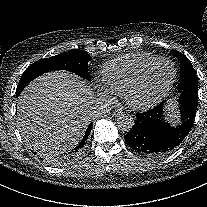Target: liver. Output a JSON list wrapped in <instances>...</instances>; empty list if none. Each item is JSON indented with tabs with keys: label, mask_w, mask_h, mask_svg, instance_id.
Returning <instances> with one entry per match:
<instances>
[{
	"label": "liver",
	"mask_w": 207,
	"mask_h": 207,
	"mask_svg": "<svg viewBox=\"0 0 207 207\" xmlns=\"http://www.w3.org/2000/svg\"><path fill=\"white\" fill-rule=\"evenodd\" d=\"M88 85L66 71L46 73L32 81L18 99L21 135L33 150L64 154L77 145L97 108Z\"/></svg>",
	"instance_id": "obj_1"
}]
</instances>
